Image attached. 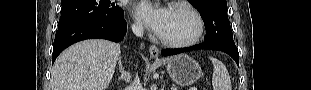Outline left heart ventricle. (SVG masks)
Wrapping results in <instances>:
<instances>
[{"mask_svg": "<svg viewBox=\"0 0 311 90\" xmlns=\"http://www.w3.org/2000/svg\"><path fill=\"white\" fill-rule=\"evenodd\" d=\"M194 32V20L187 13L172 9L167 25L160 36L173 40H182L190 38Z\"/></svg>", "mask_w": 311, "mask_h": 90, "instance_id": "b2bd125f", "label": "left heart ventricle"}]
</instances>
